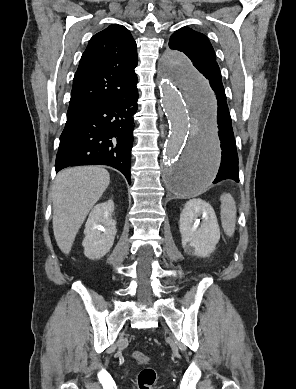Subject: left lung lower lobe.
<instances>
[{"label":"left lung lower lobe","mask_w":296,"mask_h":389,"mask_svg":"<svg viewBox=\"0 0 296 389\" xmlns=\"http://www.w3.org/2000/svg\"><path fill=\"white\" fill-rule=\"evenodd\" d=\"M206 79L209 81L212 90L216 96L217 102V130L219 139L221 141V163L217 176L213 183L225 179H231L239 182V168L238 155L236 150V143L232 128V121L226 102L225 90L221 80L220 71L214 75H207ZM197 154V143H192L190 152L187 154L184 162L180 166V179H186L192 174V164Z\"/></svg>","instance_id":"obj_1"}]
</instances>
